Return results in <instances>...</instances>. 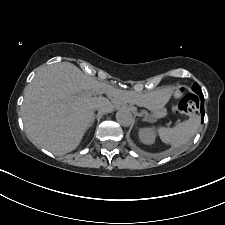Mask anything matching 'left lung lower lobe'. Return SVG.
Instances as JSON below:
<instances>
[{
    "label": "left lung lower lobe",
    "mask_w": 225,
    "mask_h": 225,
    "mask_svg": "<svg viewBox=\"0 0 225 225\" xmlns=\"http://www.w3.org/2000/svg\"><path fill=\"white\" fill-rule=\"evenodd\" d=\"M200 98V111H201V115H202V122L204 120V98H203V94H197Z\"/></svg>",
    "instance_id": "left-lung-lower-lobe-1"
}]
</instances>
